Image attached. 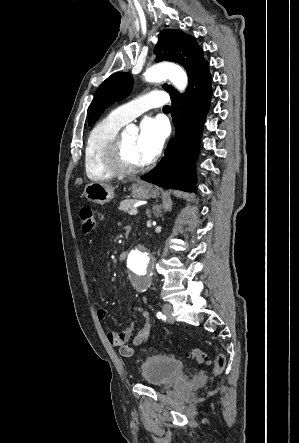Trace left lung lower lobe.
Segmentation results:
<instances>
[{
	"label": "left lung lower lobe",
	"mask_w": 299,
	"mask_h": 443,
	"mask_svg": "<svg viewBox=\"0 0 299 443\" xmlns=\"http://www.w3.org/2000/svg\"><path fill=\"white\" fill-rule=\"evenodd\" d=\"M211 81L206 62L189 81L181 101L178 102V93L171 96V113L177 124V134L169 142L160 163L141 176L142 180L165 188L195 192L194 161L212 95ZM177 109L181 110L179 118H175Z\"/></svg>",
	"instance_id": "0a47b994"
}]
</instances>
